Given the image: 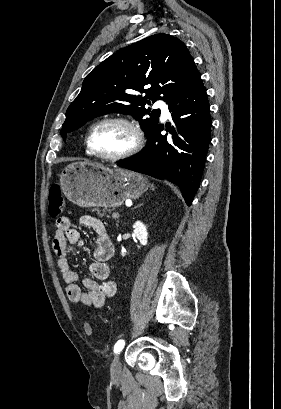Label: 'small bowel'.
Instances as JSON below:
<instances>
[{
    "label": "small bowel",
    "mask_w": 281,
    "mask_h": 409,
    "mask_svg": "<svg viewBox=\"0 0 281 409\" xmlns=\"http://www.w3.org/2000/svg\"><path fill=\"white\" fill-rule=\"evenodd\" d=\"M81 225L91 228L95 233L93 256L95 261L90 265L93 278L82 280V289L78 284L79 275L71 268L68 245L83 246L80 233L72 228L69 217L57 219L53 238V249L57 255V266L66 284L68 299L73 303L100 308L108 298L116 294V283L110 278L111 269L108 261L114 254V246L109 232L103 222L93 216L80 218Z\"/></svg>",
    "instance_id": "obj_1"
}]
</instances>
